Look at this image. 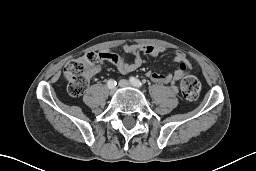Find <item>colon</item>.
Returning <instances> with one entry per match:
<instances>
[{"label": "colon", "instance_id": "1", "mask_svg": "<svg viewBox=\"0 0 256 171\" xmlns=\"http://www.w3.org/2000/svg\"><path fill=\"white\" fill-rule=\"evenodd\" d=\"M101 64L100 55L87 53L65 65L64 77L71 96H80L86 89L90 75ZM192 68V65H189ZM201 89L200 81L192 75L186 76L181 82V93L188 101H195Z\"/></svg>", "mask_w": 256, "mask_h": 171}]
</instances>
